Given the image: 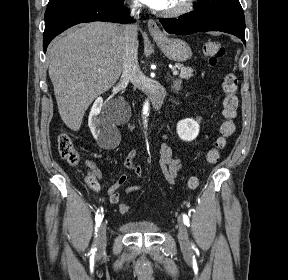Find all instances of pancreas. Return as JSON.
Masks as SVG:
<instances>
[{
	"instance_id": "1",
	"label": "pancreas",
	"mask_w": 288,
	"mask_h": 280,
	"mask_svg": "<svg viewBox=\"0 0 288 280\" xmlns=\"http://www.w3.org/2000/svg\"><path fill=\"white\" fill-rule=\"evenodd\" d=\"M174 67L180 69V78L182 79L190 80V78L193 76V69L190 67H185L179 63L175 64Z\"/></svg>"
}]
</instances>
